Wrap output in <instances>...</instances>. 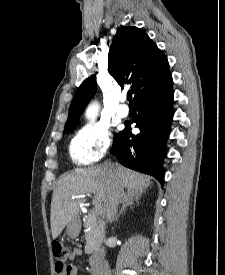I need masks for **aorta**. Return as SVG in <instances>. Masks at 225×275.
<instances>
[{"label": "aorta", "mask_w": 225, "mask_h": 275, "mask_svg": "<svg viewBox=\"0 0 225 275\" xmlns=\"http://www.w3.org/2000/svg\"><path fill=\"white\" fill-rule=\"evenodd\" d=\"M99 106L98 104L90 105L86 111V115L88 118H94L98 113Z\"/></svg>", "instance_id": "obj_1"}]
</instances>
